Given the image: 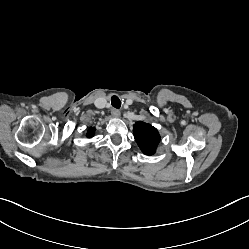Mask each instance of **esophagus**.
Returning a JSON list of instances; mask_svg holds the SVG:
<instances>
[{
	"label": "esophagus",
	"instance_id": "esophagus-1",
	"mask_svg": "<svg viewBox=\"0 0 249 249\" xmlns=\"http://www.w3.org/2000/svg\"><path fill=\"white\" fill-rule=\"evenodd\" d=\"M111 114L113 115V117H119L120 116V111L118 110V109H115V108H113L112 110H111Z\"/></svg>",
	"mask_w": 249,
	"mask_h": 249
}]
</instances>
